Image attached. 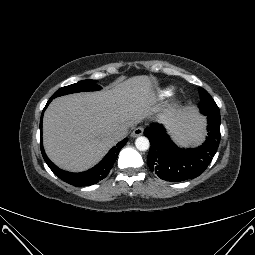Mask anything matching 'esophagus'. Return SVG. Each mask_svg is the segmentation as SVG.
I'll list each match as a JSON object with an SVG mask.
<instances>
[{"label": "esophagus", "mask_w": 255, "mask_h": 255, "mask_svg": "<svg viewBox=\"0 0 255 255\" xmlns=\"http://www.w3.org/2000/svg\"><path fill=\"white\" fill-rule=\"evenodd\" d=\"M143 131H144V129H143L142 127H137V128H135V129L132 131L131 136H132V137H138V136H140V135L143 134Z\"/></svg>", "instance_id": "esophagus-1"}]
</instances>
